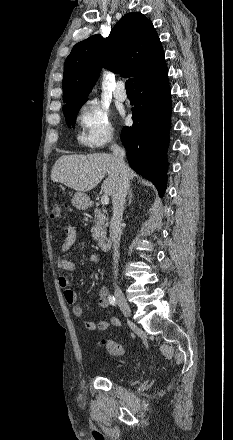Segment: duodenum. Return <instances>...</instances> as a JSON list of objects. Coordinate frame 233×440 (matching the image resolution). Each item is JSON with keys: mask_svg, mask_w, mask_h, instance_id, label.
I'll return each mask as SVG.
<instances>
[{"mask_svg": "<svg viewBox=\"0 0 233 440\" xmlns=\"http://www.w3.org/2000/svg\"><path fill=\"white\" fill-rule=\"evenodd\" d=\"M110 245H111V241L109 238L104 237V236L99 238V246L101 249L107 250L110 248Z\"/></svg>", "mask_w": 233, "mask_h": 440, "instance_id": "duodenum-1", "label": "duodenum"}]
</instances>
